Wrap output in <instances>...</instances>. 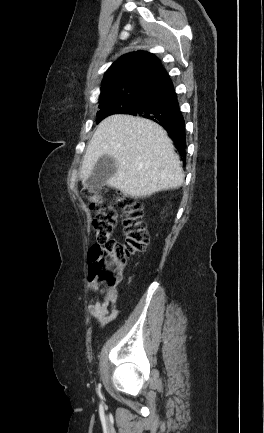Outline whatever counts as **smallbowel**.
I'll use <instances>...</instances> for the list:
<instances>
[{
	"instance_id": "small-bowel-1",
	"label": "small bowel",
	"mask_w": 264,
	"mask_h": 433,
	"mask_svg": "<svg viewBox=\"0 0 264 433\" xmlns=\"http://www.w3.org/2000/svg\"><path fill=\"white\" fill-rule=\"evenodd\" d=\"M89 288L94 292L88 311L101 325H106L117 318L119 309L116 307V294L103 295L95 280L90 279Z\"/></svg>"
}]
</instances>
